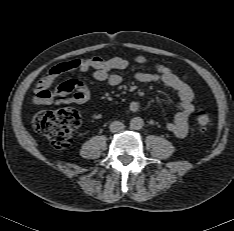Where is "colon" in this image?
<instances>
[{"label": "colon", "instance_id": "1", "mask_svg": "<svg viewBox=\"0 0 234 231\" xmlns=\"http://www.w3.org/2000/svg\"><path fill=\"white\" fill-rule=\"evenodd\" d=\"M77 67V62H70L61 66V71L66 72ZM196 127L205 132L212 125L209 113L201 109L195 116ZM80 124V115L70 108L58 110H43L37 113L33 120L34 128L49 139L55 149L68 148L72 142V132Z\"/></svg>", "mask_w": 234, "mask_h": 231}]
</instances>
